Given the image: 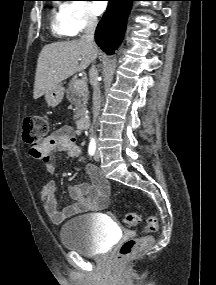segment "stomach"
Instances as JSON below:
<instances>
[{
    "instance_id": "1",
    "label": "stomach",
    "mask_w": 216,
    "mask_h": 285,
    "mask_svg": "<svg viewBox=\"0 0 216 285\" xmlns=\"http://www.w3.org/2000/svg\"><path fill=\"white\" fill-rule=\"evenodd\" d=\"M64 88L61 85H57L54 89L45 94V100L50 107L57 106L64 97Z\"/></svg>"
}]
</instances>
